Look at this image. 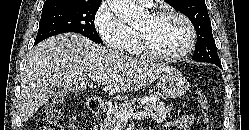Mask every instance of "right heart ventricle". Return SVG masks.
<instances>
[{
    "instance_id": "e07e8e85",
    "label": "right heart ventricle",
    "mask_w": 249,
    "mask_h": 130,
    "mask_svg": "<svg viewBox=\"0 0 249 130\" xmlns=\"http://www.w3.org/2000/svg\"><path fill=\"white\" fill-rule=\"evenodd\" d=\"M124 51L131 55L143 54L141 47H140L137 32L135 29L130 28V27H129V37H128V41L126 43Z\"/></svg>"
}]
</instances>
